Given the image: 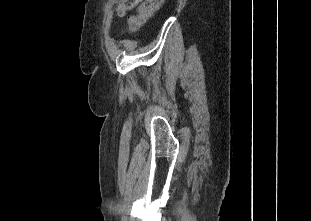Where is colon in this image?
<instances>
[{
    "label": "colon",
    "instance_id": "colon-1",
    "mask_svg": "<svg viewBox=\"0 0 311 221\" xmlns=\"http://www.w3.org/2000/svg\"><path fill=\"white\" fill-rule=\"evenodd\" d=\"M165 0H142L138 12L128 21V31H138L163 5ZM136 0H123L115 2V12H130V8H136Z\"/></svg>",
    "mask_w": 311,
    "mask_h": 221
}]
</instances>
